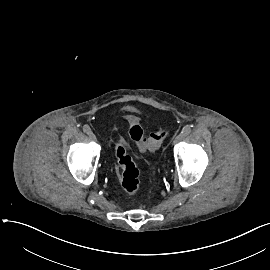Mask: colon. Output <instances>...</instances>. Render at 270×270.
Instances as JSON below:
<instances>
[{
  "label": "colon",
  "mask_w": 270,
  "mask_h": 270,
  "mask_svg": "<svg viewBox=\"0 0 270 270\" xmlns=\"http://www.w3.org/2000/svg\"><path fill=\"white\" fill-rule=\"evenodd\" d=\"M128 133L129 137L141 152L158 149L166 137L164 130H155L151 133H145L142 125L136 119L130 120ZM115 155L117 159V172L124 193L129 197L138 195L140 192L139 173L127 150V144L124 138H120L117 141Z\"/></svg>",
  "instance_id": "5ec220e1"
}]
</instances>
